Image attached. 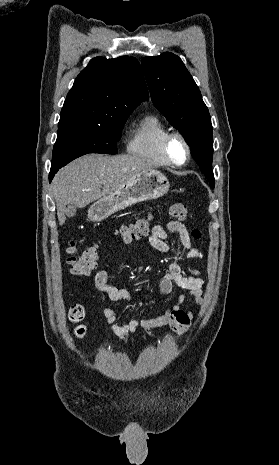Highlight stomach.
Here are the masks:
<instances>
[{
    "label": "stomach",
    "instance_id": "0dacf381",
    "mask_svg": "<svg viewBox=\"0 0 279 465\" xmlns=\"http://www.w3.org/2000/svg\"><path fill=\"white\" fill-rule=\"evenodd\" d=\"M169 187L170 184L166 176L158 171L140 173L129 179L112 194L96 201L90 207L88 217L92 221L104 220L133 204L165 195Z\"/></svg>",
    "mask_w": 279,
    "mask_h": 465
}]
</instances>
